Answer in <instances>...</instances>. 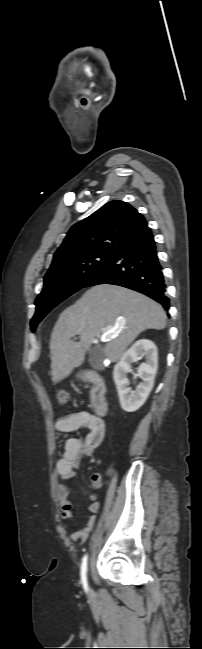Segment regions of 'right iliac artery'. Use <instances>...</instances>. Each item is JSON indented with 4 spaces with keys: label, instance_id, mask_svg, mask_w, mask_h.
Listing matches in <instances>:
<instances>
[{
    "label": "right iliac artery",
    "instance_id": "obj_1",
    "mask_svg": "<svg viewBox=\"0 0 202 649\" xmlns=\"http://www.w3.org/2000/svg\"><path fill=\"white\" fill-rule=\"evenodd\" d=\"M81 582L83 584V587L85 591H88V584H87V555H85L82 559V564H81Z\"/></svg>",
    "mask_w": 202,
    "mask_h": 649
}]
</instances>
